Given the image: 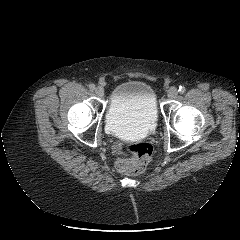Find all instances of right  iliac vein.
I'll use <instances>...</instances> for the list:
<instances>
[{"label":"right iliac vein","mask_w":240,"mask_h":240,"mask_svg":"<svg viewBox=\"0 0 240 240\" xmlns=\"http://www.w3.org/2000/svg\"><path fill=\"white\" fill-rule=\"evenodd\" d=\"M95 94H96L98 97L102 98V97L104 96V90H103V88L97 87V88L95 89Z\"/></svg>","instance_id":"obj_1"}]
</instances>
